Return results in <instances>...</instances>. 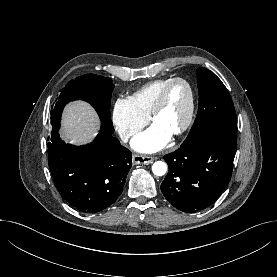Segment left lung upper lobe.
Segmentation results:
<instances>
[{
	"instance_id": "5c2ea615",
	"label": "left lung upper lobe",
	"mask_w": 277,
	"mask_h": 277,
	"mask_svg": "<svg viewBox=\"0 0 277 277\" xmlns=\"http://www.w3.org/2000/svg\"><path fill=\"white\" fill-rule=\"evenodd\" d=\"M196 75L199 89L198 113L183 144L191 143L213 131L237 133L236 112L225 85L206 68H199Z\"/></svg>"
}]
</instances>
